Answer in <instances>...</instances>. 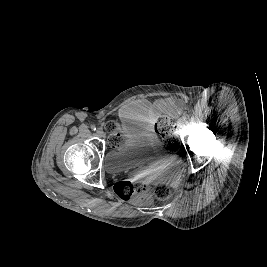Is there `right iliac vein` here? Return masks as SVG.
Returning <instances> with one entry per match:
<instances>
[{"mask_svg":"<svg viewBox=\"0 0 267 267\" xmlns=\"http://www.w3.org/2000/svg\"><path fill=\"white\" fill-rule=\"evenodd\" d=\"M96 134H97V136L100 137V138H102V137L104 136L103 131L100 130V129H98V130L96 131Z\"/></svg>","mask_w":267,"mask_h":267,"instance_id":"right-iliac-vein-1","label":"right iliac vein"}]
</instances>
